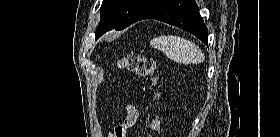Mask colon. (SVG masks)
I'll use <instances>...</instances> for the list:
<instances>
[{
    "label": "colon",
    "mask_w": 280,
    "mask_h": 137,
    "mask_svg": "<svg viewBox=\"0 0 280 137\" xmlns=\"http://www.w3.org/2000/svg\"><path fill=\"white\" fill-rule=\"evenodd\" d=\"M117 66L123 70H126L130 73L136 74L137 76L149 78L152 87L157 88L160 84V74L156 67V63L153 58L142 56L140 54L131 52L122 57H119L117 60ZM161 98V92H153V101L157 103ZM153 117L148 123V128L150 131H157L159 128L158 121V111L153 110ZM128 127L124 124H118L114 127L113 131L110 133V137H126V132Z\"/></svg>",
    "instance_id": "obj_1"
}]
</instances>
